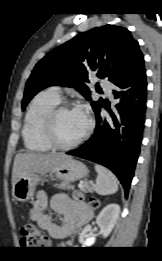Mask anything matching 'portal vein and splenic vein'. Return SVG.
Returning <instances> with one entry per match:
<instances>
[{
  "label": "portal vein and splenic vein",
  "instance_id": "18ae733b",
  "mask_svg": "<svg viewBox=\"0 0 162 261\" xmlns=\"http://www.w3.org/2000/svg\"><path fill=\"white\" fill-rule=\"evenodd\" d=\"M82 186H83V182L81 181L78 187L81 188Z\"/></svg>",
  "mask_w": 162,
  "mask_h": 261
}]
</instances>
